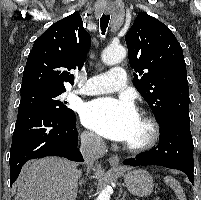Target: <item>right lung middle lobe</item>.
Returning <instances> with one entry per match:
<instances>
[{"instance_id": "1", "label": "right lung middle lobe", "mask_w": 201, "mask_h": 200, "mask_svg": "<svg viewBox=\"0 0 201 200\" xmlns=\"http://www.w3.org/2000/svg\"><path fill=\"white\" fill-rule=\"evenodd\" d=\"M64 91H32L21 93L18 116L33 111H48L62 117H72L75 113L60 100Z\"/></svg>"}]
</instances>
